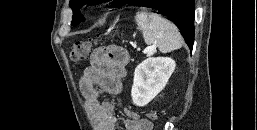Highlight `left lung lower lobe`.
<instances>
[{
  "label": "left lung lower lobe",
  "mask_w": 257,
  "mask_h": 130,
  "mask_svg": "<svg viewBox=\"0 0 257 130\" xmlns=\"http://www.w3.org/2000/svg\"><path fill=\"white\" fill-rule=\"evenodd\" d=\"M136 5L158 11L172 21L180 30L192 50L194 42V0H137Z\"/></svg>",
  "instance_id": "obj_1"
}]
</instances>
